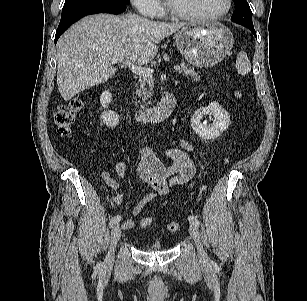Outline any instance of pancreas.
<instances>
[{
    "label": "pancreas",
    "instance_id": "1",
    "mask_svg": "<svg viewBox=\"0 0 307 301\" xmlns=\"http://www.w3.org/2000/svg\"><path fill=\"white\" fill-rule=\"evenodd\" d=\"M180 72L186 77L193 78L195 81L200 80L199 72H196L193 68H188V66H186L184 62L181 63ZM140 82H141L142 91L138 90V94L140 96L143 95L142 99L145 101L147 98L151 97L153 80L152 77L149 76V77H144L143 79H141ZM144 86H149L150 90H146Z\"/></svg>",
    "mask_w": 307,
    "mask_h": 301
}]
</instances>
